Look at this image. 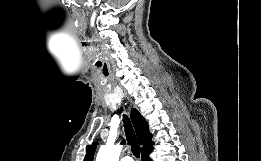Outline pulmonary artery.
<instances>
[{
  "label": "pulmonary artery",
  "mask_w": 261,
  "mask_h": 161,
  "mask_svg": "<svg viewBox=\"0 0 261 161\" xmlns=\"http://www.w3.org/2000/svg\"><path fill=\"white\" fill-rule=\"evenodd\" d=\"M121 161H133V160L131 157L125 156V157H122Z\"/></svg>",
  "instance_id": "obj_1"
}]
</instances>
